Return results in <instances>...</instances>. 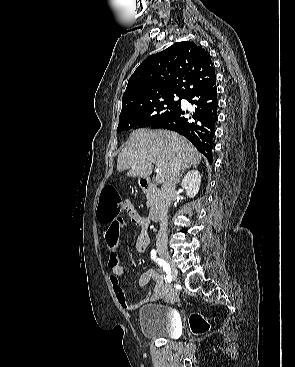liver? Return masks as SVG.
Here are the masks:
<instances>
[{
    "label": "liver",
    "mask_w": 295,
    "mask_h": 367,
    "mask_svg": "<svg viewBox=\"0 0 295 367\" xmlns=\"http://www.w3.org/2000/svg\"><path fill=\"white\" fill-rule=\"evenodd\" d=\"M202 155L183 136L167 130L138 129L132 132L118 155L117 170L129 177L147 178L154 165L164 179L175 167L185 169L200 163Z\"/></svg>",
    "instance_id": "obj_1"
}]
</instances>
